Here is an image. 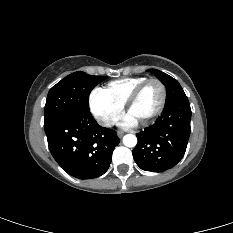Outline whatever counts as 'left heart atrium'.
<instances>
[{"label": "left heart atrium", "instance_id": "obj_1", "mask_svg": "<svg viewBox=\"0 0 233 233\" xmlns=\"http://www.w3.org/2000/svg\"><path fill=\"white\" fill-rule=\"evenodd\" d=\"M136 120L134 118H132L131 116H127L126 119H125V122H124V125L125 126H133L136 124Z\"/></svg>", "mask_w": 233, "mask_h": 233}]
</instances>
